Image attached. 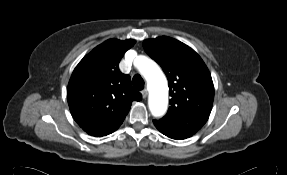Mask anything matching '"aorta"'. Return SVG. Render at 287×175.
<instances>
[{
  "label": "aorta",
  "instance_id": "762f6f07",
  "mask_svg": "<svg viewBox=\"0 0 287 175\" xmlns=\"http://www.w3.org/2000/svg\"><path fill=\"white\" fill-rule=\"evenodd\" d=\"M149 87V110L154 117H161L167 111L168 85L167 79L160 67L151 59L141 56L136 64Z\"/></svg>",
  "mask_w": 287,
  "mask_h": 175
}]
</instances>
